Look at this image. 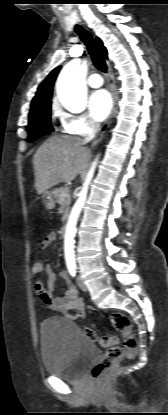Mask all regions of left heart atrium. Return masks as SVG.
Segmentation results:
<instances>
[{"label":"left heart atrium","mask_w":168,"mask_h":415,"mask_svg":"<svg viewBox=\"0 0 168 415\" xmlns=\"http://www.w3.org/2000/svg\"><path fill=\"white\" fill-rule=\"evenodd\" d=\"M88 107L91 117L101 122L107 118L112 108V100L106 90L94 91L88 101Z\"/></svg>","instance_id":"39dd6f15"}]
</instances>
